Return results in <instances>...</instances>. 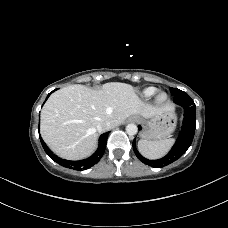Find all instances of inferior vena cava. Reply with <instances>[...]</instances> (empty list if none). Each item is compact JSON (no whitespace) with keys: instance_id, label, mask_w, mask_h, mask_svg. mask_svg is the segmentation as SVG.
Returning <instances> with one entry per match:
<instances>
[{"instance_id":"inferior-vena-cava-1","label":"inferior vena cava","mask_w":228,"mask_h":228,"mask_svg":"<svg viewBox=\"0 0 228 228\" xmlns=\"http://www.w3.org/2000/svg\"><path fill=\"white\" fill-rule=\"evenodd\" d=\"M111 124L109 122H102L98 125L97 129L99 132L108 131L111 129Z\"/></svg>"}]
</instances>
